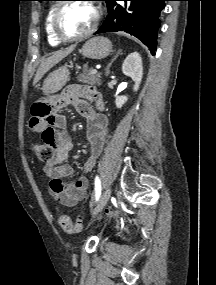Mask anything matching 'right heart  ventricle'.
I'll use <instances>...</instances> for the list:
<instances>
[{
  "label": "right heart ventricle",
  "instance_id": "obj_1",
  "mask_svg": "<svg viewBox=\"0 0 216 285\" xmlns=\"http://www.w3.org/2000/svg\"><path fill=\"white\" fill-rule=\"evenodd\" d=\"M56 7H57L56 4L51 5L50 8L48 9V12L45 18V31H46L47 41L51 46H58L62 43L54 36L53 31H52L51 22H52V17H53Z\"/></svg>",
  "mask_w": 216,
  "mask_h": 285
}]
</instances>
